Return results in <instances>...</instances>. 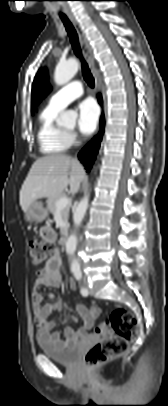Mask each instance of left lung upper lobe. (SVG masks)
Returning a JSON list of instances; mask_svg holds the SVG:
<instances>
[{
    "label": "left lung upper lobe",
    "instance_id": "obj_1",
    "mask_svg": "<svg viewBox=\"0 0 168 406\" xmlns=\"http://www.w3.org/2000/svg\"><path fill=\"white\" fill-rule=\"evenodd\" d=\"M51 90L47 81V72L45 69L39 70L34 78L32 85V112L37 105Z\"/></svg>",
    "mask_w": 168,
    "mask_h": 406
}]
</instances>
